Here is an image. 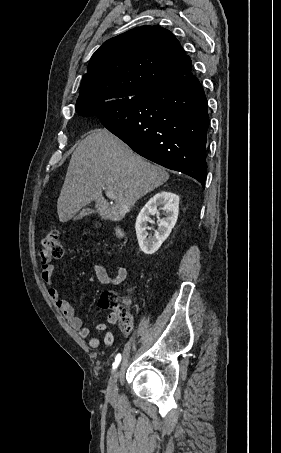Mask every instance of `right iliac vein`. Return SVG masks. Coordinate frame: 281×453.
I'll use <instances>...</instances> for the list:
<instances>
[{
  "instance_id": "1",
  "label": "right iliac vein",
  "mask_w": 281,
  "mask_h": 453,
  "mask_svg": "<svg viewBox=\"0 0 281 453\" xmlns=\"http://www.w3.org/2000/svg\"><path fill=\"white\" fill-rule=\"evenodd\" d=\"M117 375L120 373L118 370L115 372ZM116 374H113L111 376V380L109 382V387H108V392L109 393H114L115 392V388H116V380L118 379V376Z\"/></svg>"
}]
</instances>
